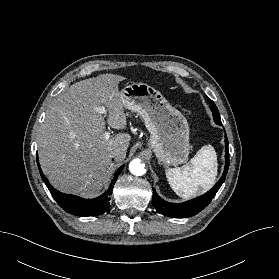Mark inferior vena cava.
Here are the masks:
<instances>
[{
	"instance_id": "1",
	"label": "inferior vena cava",
	"mask_w": 279,
	"mask_h": 279,
	"mask_svg": "<svg viewBox=\"0 0 279 279\" xmlns=\"http://www.w3.org/2000/svg\"><path fill=\"white\" fill-rule=\"evenodd\" d=\"M120 154H121V151L119 149H114V150L110 151L109 157L110 158L119 157Z\"/></svg>"
}]
</instances>
